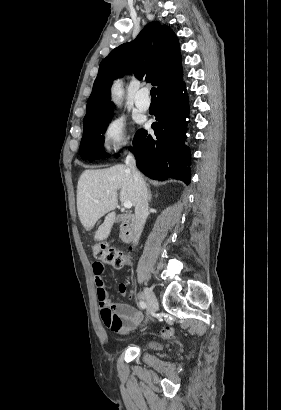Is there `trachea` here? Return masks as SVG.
<instances>
[{
    "label": "trachea",
    "instance_id": "obj_1",
    "mask_svg": "<svg viewBox=\"0 0 281 410\" xmlns=\"http://www.w3.org/2000/svg\"><path fill=\"white\" fill-rule=\"evenodd\" d=\"M150 94H151L152 99H155V97H156V89H155V87L151 88Z\"/></svg>",
    "mask_w": 281,
    "mask_h": 410
}]
</instances>
